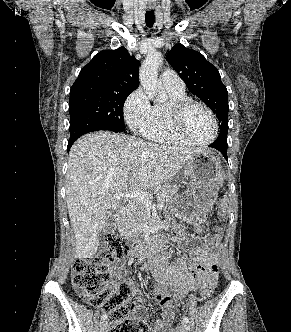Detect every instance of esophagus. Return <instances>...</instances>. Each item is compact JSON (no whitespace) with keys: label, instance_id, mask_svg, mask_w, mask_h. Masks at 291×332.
<instances>
[{"label":"esophagus","instance_id":"obj_1","mask_svg":"<svg viewBox=\"0 0 291 332\" xmlns=\"http://www.w3.org/2000/svg\"><path fill=\"white\" fill-rule=\"evenodd\" d=\"M148 8H149V9H153V8H154V4H153V3H149V4H148Z\"/></svg>","mask_w":291,"mask_h":332}]
</instances>
